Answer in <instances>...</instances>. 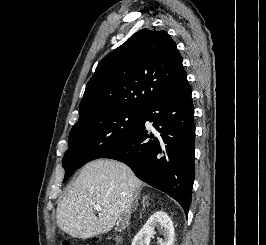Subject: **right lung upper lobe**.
Instances as JSON below:
<instances>
[{"mask_svg":"<svg viewBox=\"0 0 266 245\" xmlns=\"http://www.w3.org/2000/svg\"><path fill=\"white\" fill-rule=\"evenodd\" d=\"M185 80L182 57L171 36L142 29L100 61L87 83L79 118L114 107L146 110Z\"/></svg>","mask_w":266,"mask_h":245,"instance_id":"1","label":"right lung upper lobe"}]
</instances>
